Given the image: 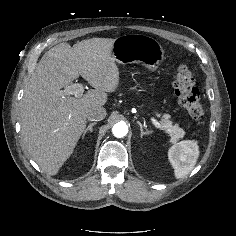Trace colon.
Returning <instances> with one entry per match:
<instances>
[{
	"label": "colon",
	"instance_id": "obj_1",
	"mask_svg": "<svg viewBox=\"0 0 236 236\" xmlns=\"http://www.w3.org/2000/svg\"><path fill=\"white\" fill-rule=\"evenodd\" d=\"M173 86L181 107L191 118L200 119L204 114L200 93L195 85L193 73L186 65L178 67Z\"/></svg>",
	"mask_w": 236,
	"mask_h": 236
}]
</instances>
